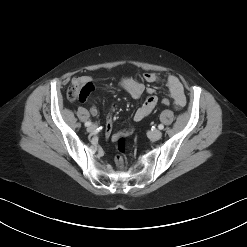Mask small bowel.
<instances>
[{
  "mask_svg": "<svg viewBox=\"0 0 247 247\" xmlns=\"http://www.w3.org/2000/svg\"><path fill=\"white\" fill-rule=\"evenodd\" d=\"M143 78L148 83H155L159 81V76L152 72H147L143 75ZM92 78L90 76H77L73 78L72 84L83 87V86H91L92 87ZM120 87L124 89L126 92H128L133 98L138 99L143 94H148L149 96L146 98V100L142 103V105L135 111L134 114V120L139 122L142 121L144 118H146L155 108L157 105L158 99L154 95V88L152 87H146L144 83L131 78V77H125L123 78L120 83ZM167 86L169 88L170 95L172 97L173 103L175 107L182 108L186 103V97L184 93V87L182 85V82L180 79L175 75H170L167 78ZM91 115L95 116L98 113L97 107L95 105H92L90 108ZM130 131H127L126 133H123L122 135L129 134ZM106 137L111 136V126L108 124L106 126L105 130ZM121 135L115 134L112 137L114 139H117Z\"/></svg>",
  "mask_w": 247,
  "mask_h": 247,
  "instance_id": "obj_1",
  "label": "small bowel"
}]
</instances>
